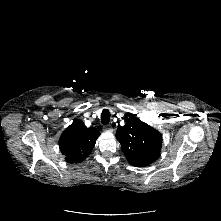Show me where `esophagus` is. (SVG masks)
I'll use <instances>...</instances> for the list:
<instances>
[{"label":"esophagus","instance_id":"1","mask_svg":"<svg viewBox=\"0 0 221 221\" xmlns=\"http://www.w3.org/2000/svg\"><path fill=\"white\" fill-rule=\"evenodd\" d=\"M113 129H112V126L111 125H105L104 126V131L106 132H111Z\"/></svg>","mask_w":221,"mask_h":221}]
</instances>
